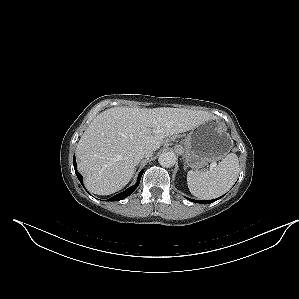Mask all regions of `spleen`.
I'll list each match as a JSON object with an SVG mask.
<instances>
[{"instance_id": "spleen-1", "label": "spleen", "mask_w": 299, "mask_h": 299, "mask_svg": "<svg viewBox=\"0 0 299 299\" xmlns=\"http://www.w3.org/2000/svg\"><path fill=\"white\" fill-rule=\"evenodd\" d=\"M238 174V157L230 153L218 165L207 171H188L187 184L195 197L214 199L226 193L234 185Z\"/></svg>"}]
</instances>
